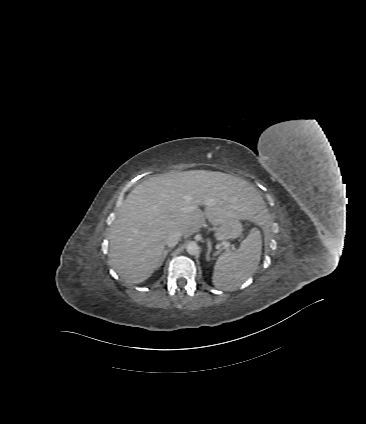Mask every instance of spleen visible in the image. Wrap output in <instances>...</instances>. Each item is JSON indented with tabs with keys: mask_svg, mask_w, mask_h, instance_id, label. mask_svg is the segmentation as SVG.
<instances>
[{
	"mask_svg": "<svg viewBox=\"0 0 366 424\" xmlns=\"http://www.w3.org/2000/svg\"><path fill=\"white\" fill-rule=\"evenodd\" d=\"M261 251V233L253 228L235 252L227 251L219 256L212 276L214 286L225 291L237 289L257 269Z\"/></svg>",
	"mask_w": 366,
	"mask_h": 424,
	"instance_id": "1",
	"label": "spleen"
}]
</instances>
